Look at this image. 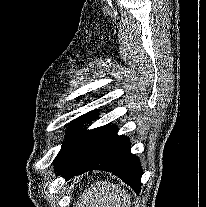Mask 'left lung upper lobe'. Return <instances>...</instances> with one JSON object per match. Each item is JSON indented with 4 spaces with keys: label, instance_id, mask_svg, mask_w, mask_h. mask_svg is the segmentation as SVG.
<instances>
[{
    "label": "left lung upper lobe",
    "instance_id": "1",
    "mask_svg": "<svg viewBox=\"0 0 206 207\" xmlns=\"http://www.w3.org/2000/svg\"><path fill=\"white\" fill-rule=\"evenodd\" d=\"M96 117V113L90 112L86 116H81L72 121L73 125L70 126L68 137L55 159L56 165L67 161L76 153L90 133V130L86 131V128L80 129V125L88 120L92 121Z\"/></svg>",
    "mask_w": 206,
    "mask_h": 207
}]
</instances>
